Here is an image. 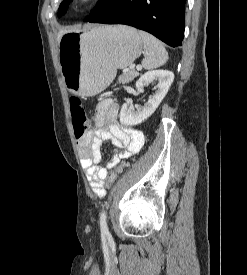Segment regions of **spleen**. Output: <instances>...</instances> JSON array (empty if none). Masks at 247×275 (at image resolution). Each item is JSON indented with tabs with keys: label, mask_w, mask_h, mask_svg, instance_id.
Returning <instances> with one entry per match:
<instances>
[{
	"label": "spleen",
	"mask_w": 247,
	"mask_h": 275,
	"mask_svg": "<svg viewBox=\"0 0 247 275\" xmlns=\"http://www.w3.org/2000/svg\"><path fill=\"white\" fill-rule=\"evenodd\" d=\"M139 35L143 40L145 51L142 66L150 70L164 65L168 60V53L163 43L145 31H139Z\"/></svg>",
	"instance_id": "spleen-1"
}]
</instances>
